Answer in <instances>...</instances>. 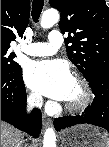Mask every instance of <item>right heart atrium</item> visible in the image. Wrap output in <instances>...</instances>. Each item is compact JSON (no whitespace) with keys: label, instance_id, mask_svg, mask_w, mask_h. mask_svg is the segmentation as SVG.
<instances>
[{"label":"right heart atrium","instance_id":"1","mask_svg":"<svg viewBox=\"0 0 109 147\" xmlns=\"http://www.w3.org/2000/svg\"><path fill=\"white\" fill-rule=\"evenodd\" d=\"M28 99L33 105H39L40 96L37 93L31 92L28 94Z\"/></svg>","mask_w":109,"mask_h":147}]
</instances>
